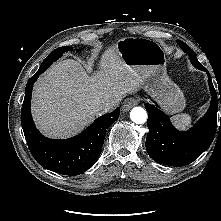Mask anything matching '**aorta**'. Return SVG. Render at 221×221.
Wrapping results in <instances>:
<instances>
[{"label":"aorta","mask_w":221,"mask_h":221,"mask_svg":"<svg viewBox=\"0 0 221 221\" xmlns=\"http://www.w3.org/2000/svg\"><path fill=\"white\" fill-rule=\"evenodd\" d=\"M130 118L136 124H143L147 120V112L142 107H134L130 112Z\"/></svg>","instance_id":"obj_1"}]
</instances>
